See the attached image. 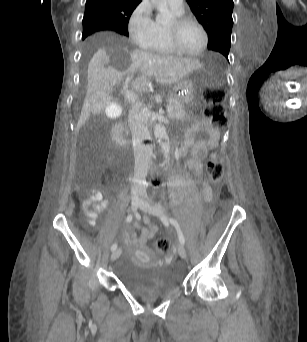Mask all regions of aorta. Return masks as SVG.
Wrapping results in <instances>:
<instances>
[{"label":"aorta","instance_id":"1","mask_svg":"<svg viewBox=\"0 0 307 342\" xmlns=\"http://www.w3.org/2000/svg\"><path fill=\"white\" fill-rule=\"evenodd\" d=\"M151 2L159 12L156 16V22H161V24L162 22H166L169 14L167 0H151ZM154 136L155 138H158L159 146L163 152L165 160H168L171 152V146L166 128L163 124H156V126H154Z\"/></svg>","mask_w":307,"mask_h":342}]
</instances>
